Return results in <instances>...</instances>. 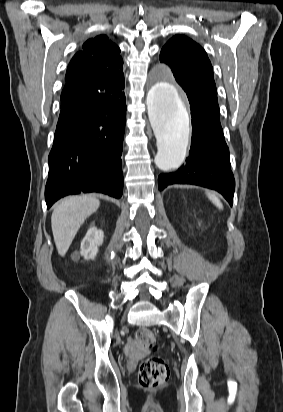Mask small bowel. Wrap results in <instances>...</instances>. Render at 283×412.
<instances>
[{"label":"small bowel","mask_w":283,"mask_h":412,"mask_svg":"<svg viewBox=\"0 0 283 412\" xmlns=\"http://www.w3.org/2000/svg\"><path fill=\"white\" fill-rule=\"evenodd\" d=\"M123 352L132 361L139 360L146 354V350L133 339H129L127 341Z\"/></svg>","instance_id":"small-bowel-1"}]
</instances>
